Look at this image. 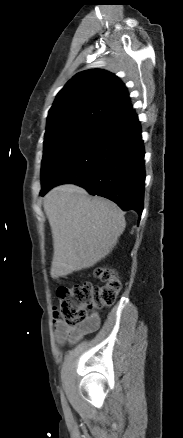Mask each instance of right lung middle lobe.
Returning <instances> with one entry per match:
<instances>
[{
    "label": "right lung middle lobe",
    "instance_id": "right-lung-middle-lobe-1",
    "mask_svg": "<svg viewBox=\"0 0 183 438\" xmlns=\"http://www.w3.org/2000/svg\"><path fill=\"white\" fill-rule=\"evenodd\" d=\"M97 130L93 126H75L45 134L42 159V188L84 147Z\"/></svg>",
    "mask_w": 183,
    "mask_h": 438
}]
</instances>
